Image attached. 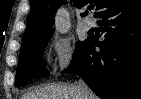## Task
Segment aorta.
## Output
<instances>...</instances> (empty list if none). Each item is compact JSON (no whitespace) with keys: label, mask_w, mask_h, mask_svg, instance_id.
I'll list each match as a JSON object with an SVG mask.
<instances>
[{"label":"aorta","mask_w":141,"mask_h":99,"mask_svg":"<svg viewBox=\"0 0 141 99\" xmlns=\"http://www.w3.org/2000/svg\"><path fill=\"white\" fill-rule=\"evenodd\" d=\"M70 27L69 19L65 10L60 9L55 16V28L60 34H65L68 32Z\"/></svg>","instance_id":"aorta-1"}]
</instances>
